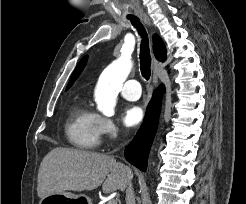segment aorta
Instances as JSON below:
<instances>
[{"label": "aorta", "instance_id": "aorta-1", "mask_svg": "<svg viewBox=\"0 0 246 204\" xmlns=\"http://www.w3.org/2000/svg\"><path fill=\"white\" fill-rule=\"evenodd\" d=\"M131 69L130 58L121 56L102 72L95 90V100L97 109L105 116L114 115L119 87L126 80Z\"/></svg>", "mask_w": 246, "mask_h": 204}]
</instances>
